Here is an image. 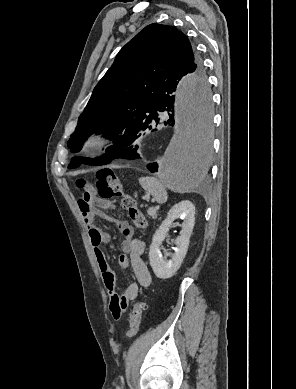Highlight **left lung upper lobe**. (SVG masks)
<instances>
[{"instance_id": "obj_1", "label": "left lung upper lobe", "mask_w": 296, "mask_h": 389, "mask_svg": "<svg viewBox=\"0 0 296 389\" xmlns=\"http://www.w3.org/2000/svg\"><path fill=\"white\" fill-rule=\"evenodd\" d=\"M204 77L202 61L185 34L173 26L150 24L129 41L117 54L113 65L93 90L80 115L68 147L81 149L93 133L115 140L136 119L143 122L156 103V93L176 75ZM81 163L100 165L75 157L68 168Z\"/></svg>"}]
</instances>
